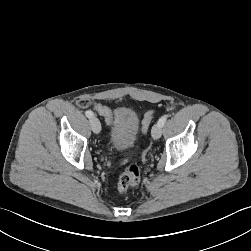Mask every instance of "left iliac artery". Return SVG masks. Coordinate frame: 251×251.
<instances>
[{
	"mask_svg": "<svg viewBox=\"0 0 251 251\" xmlns=\"http://www.w3.org/2000/svg\"><path fill=\"white\" fill-rule=\"evenodd\" d=\"M168 116L167 115H163L159 120H158V124H160L161 126H163L167 120Z\"/></svg>",
	"mask_w": 251,
	"mask_h": 251,
	"instance_id": "1",
	"label": "left iliac artery"
}]
</instances>
